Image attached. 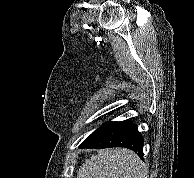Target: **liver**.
<instances>
[{
	"label": "liver",
	"instance_id": "6515ba94",
	"mask_svg": "<svg viewBox=\"0 0 194 178\" xmlns=\"http://www.w3.org/2000/svg\"><path fill=\"white\" fill-rule=\"evenodd\" d=\"M144 174V164L137 154L125 148H111L87 159L77 178H144Z\"/></svg>",
	"mask_w": 194,
	"mask_h": 178
}]
</instances>
